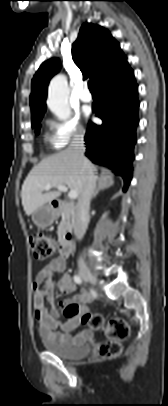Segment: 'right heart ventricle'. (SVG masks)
<instances>
[{"instance_id": "1", "label": "right heart ventricle", "mask_w": 168, "mask_h": 406, "mask_svg": "<svg viewBox=\"0 0 168 406\" xmlns=\"http://www.w3.org/2000/svg\"><path fill=\"white\" fill-rule=\"evenodd\" d=\"M46 139H47V140H49V141L51 142V144H52V145H54V144H53L52 137H51V138H49L48 136H46Z\"/></svg>"}]
</instances>
